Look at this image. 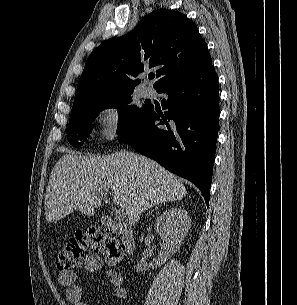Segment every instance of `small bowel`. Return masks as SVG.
I'll return each mask as SVG.
<instances>
[{
    "label": "small bowel",
    "instance_id": "obj_1",
    "mask_svg": "<svg viewBox=\"0 0 297 305\" xmlns=\"http://www.w3.org/2000/svg\"><path fill=\"white\" fill-rule=\"evenodd\" d=\"M84 268L88 273H97L103 268V261L99 256L92 255L85 261ZM107 277L114 286L113 295L118 300L127 297V291L122 286L123 276L117 271L108 270ZM59 284L66 289L67 299L72 305H89L83 297V291L77 284L76 274L73 271H60L57 274Z\"/></svg>",
    "mask_w": 297,
    "mask_h": 305
}]
</instances>
